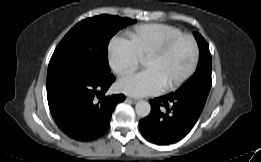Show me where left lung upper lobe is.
<instances>
[{
    "instance_id": "1",
    "label": "left lung upper lobe",
    "mask_w": 261,
    "mask_h": 162,
    "mask_svg": "<svg viewBox=\"0 0 261 162\" xmlns=\"http://www.w3.org/2000/svg\"><path fill=\"white\" fill-rule=\"evenodd\" d=\"M197 40L200 57L196 72L183 87L201 86L206 89L211 88V54L206 40L199 34L194 32Z\"/></svg>"
}]
</instances>
